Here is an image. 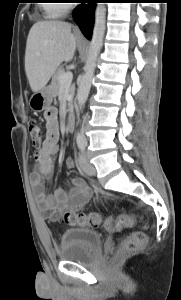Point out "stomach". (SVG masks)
Returning a JSON list of instances; mask_svg holds the SVG:
<instances>
[{"mask_svg":"<svg viewBox=\"0 0 181 300\" xmlns=\"http://www.w3.org/2000/svg\"><path fill=\"white\" fill-rule=\"evenodd\" d=\"M53 97L51 86H45L31 96L29 106L34 111H43L51 105Z\"/></svg>","mask_w":181,"mask_h":300,"instance_id":"1","label":"stomach"}]
</instances>
